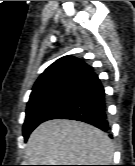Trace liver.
Here are the masks:
<instances>
[{
	"label": "liver",
	"instance_id": "obj_1",
	"mask_svg": "<svg viewBox=\"0 0 135 166\" xmlns=\"http://www.w3.org/2000/svg\"><path fill=\"white\" fill-rule=\"evenodd\" d=\"M113 144L106 133L75 120L40 124L27 141L31 165H110Z\"/></svg>",
	"mask_w": 135,
	"mask_h": 166
}]
</instances>
